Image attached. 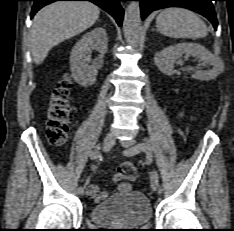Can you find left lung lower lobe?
I'll list each match as a JSON object with an SVG mask.
<instances>
[{"instance_id": "left-lung-lower-lobe-1", "label": "left lung lower lobe", "mask_w": 234, "mask_h": 231, "mask_svg": "<svg viewBox=\"0 0 234 231\" xmlns=\"http://www.w3.org/2000/svg\"><path fill=\"white\" fill-rule=\"evenodd\" d=\"M140 1L142 19L152 11L165 7H184L206 17L217 29V18L212 4L213 0H137Z\"/></svg>"}]
</instances>
